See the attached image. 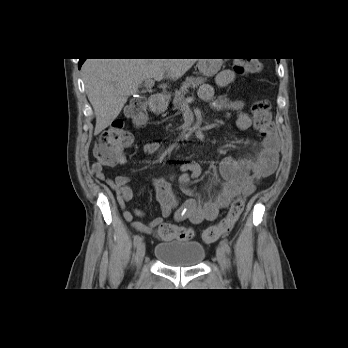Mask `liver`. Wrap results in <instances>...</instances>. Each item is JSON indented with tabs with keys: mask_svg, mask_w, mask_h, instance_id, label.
Segmentation results:
<instances>
[{
	"mask_svg": "<svg viewBox=\"0 0 348 348\" xmlns=\"http://www.w3.org/2000/svg\"><path fill=\"white\" fill-rule=\"evenodd\" d=\"M198 59H87L82 75L96 116L95 135L120 114L129 96L148 79L177 80Z\"/></svg>",
	"mask_w": 348,
	"mask_h": 348,
	"instance_id": "liver-1",
	"label": "liver"
}]
</instances>
